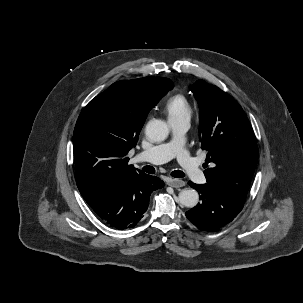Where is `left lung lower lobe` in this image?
Instances as JSON below:
<instances>
[{"instance_id":"left-lung-lower-lobe-1","label":"left lung lower lobe","mask_w":303,"mask_h":303,"mask_svg":"<svg viewBox=\"0 0 303 303\" xmlns=\"http://www.w3.org/2000/svg\"><path fill=\"white\" fill-rule=\"evenodd\" d=\"M188 184L198 191L201 203L187 211L186 217L200 230L214 231L225 226L243 208L245 201L224 188L208 183Z\"/></svg>"}]
</instances>
